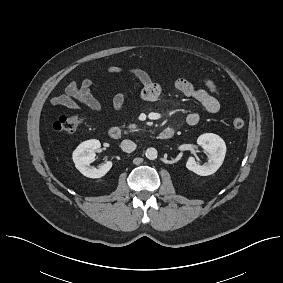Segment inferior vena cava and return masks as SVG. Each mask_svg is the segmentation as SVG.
<instances>
[{
  "label": "inferior vena cava",
  "instance_id": "602c4592",
  "mask_svg": "<svg viewBox=\"0 0 283 283\" xmlns=\"http://www.w3.org/2000/svg\"><path fill=\"white\" fill-rule=\"evenodd\" d=\"M121 149L126 153H131L136 149V144L131 140H123L120 145Z\"/></svg>",
  "mask_w": 283,
  "mask_h": 283
}]
</instances>
